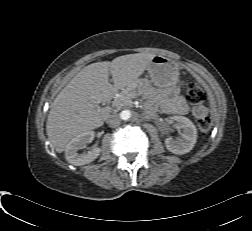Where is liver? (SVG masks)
I'll list each match as a JSON object with an SVG mask.
<instances>
[{
    "mask_svg": "<svg viewBox=\"0 0 252 231\" xmlns=\"http://www.w3.org/2000/svg\"><path fill=\"white\" fill-rule=\"evenodd\" d=\"M154 56L137 53L92 63L72 78L53 101L47 118L46 132L54 149L61 153L74 136L102 126L111 109L100 108L99 103L110 101L119 90L130 93L139 87L138 78Z\"/></svg>",
    "mask_w": 252,
    "mask_h": 231,
    "instance_id": "liver-1",
    "label": "liver"
}]
</instances>
